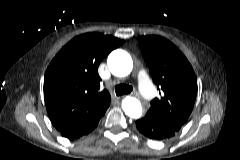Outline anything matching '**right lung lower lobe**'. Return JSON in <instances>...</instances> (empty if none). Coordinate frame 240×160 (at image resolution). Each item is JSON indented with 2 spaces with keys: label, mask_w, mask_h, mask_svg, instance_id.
<instances>
[{
  "label": "right lung lower lobe",
  "mask_w": 240,
  "mask_h": 160,
  "mask_svg": "<svg viewBox=\"0 0 240 160\" xmlns=\"http://www.w3.org/2000/svg\"><path fill=\"white\" fill-rule=\"evenodd\" d=\"M105 111L106 110L85 121H79L69 125L63 131H60L61 135L70 140H74L92 132L98 125L100 118L105 114Z\"/></svg>",
  "instance_id": "1"
}]
</instances>
